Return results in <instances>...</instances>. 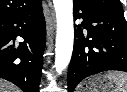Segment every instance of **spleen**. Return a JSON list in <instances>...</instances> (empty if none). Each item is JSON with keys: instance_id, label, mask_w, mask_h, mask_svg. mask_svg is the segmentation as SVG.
<instances>
[{"instance_id": "1", "label": "spleen", "mask_w": 127, "mask_h": 92, "mask_svg": "<svg viewBox=\"0 0 127 92\" xmlns=\"http://www.w3.org/2000/svg\"><path fill=\"white\" fill-rule=\"evenodd\" d=\"M104 78L115 85L111 92H127V73L111 71L104 75Z\"/></svg>"}]
</instances>
